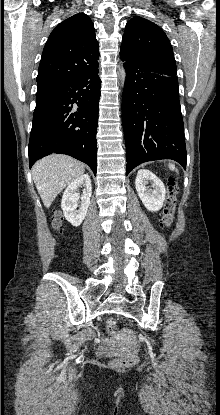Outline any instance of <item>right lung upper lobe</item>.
I'll use <instances>...</instances> for the list:
<instances>
[{
    "label": "right lung upper lobe",
    "instance_id": "obj_1",
    "mask_svg": "<svg viewBox=\"0 0 220 415\" xmlns=\"http://www.w3.org/2000/svg\"><path fill=\"white\" fill-rule=\"evenodd\" d=\"M99 46L88 15L78 13L51 32L40 61L37 87L54 86L98 67Z\"/></svg>",
    "mask_w": 220,
    "mask_h": 415
}]
</instances>
